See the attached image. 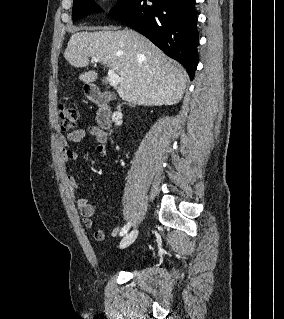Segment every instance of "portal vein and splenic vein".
<instances>
[{"mask_svg": "<svg viewBox=\"0 0 284 319\" xmlns=\"http://www.w3.org/2000/svg\"><path fill=\"white\" fill-rule=\"evenodd\" d=\"M93 62H98L99 59L96 57L92 58ZM108 80H109V84L113 87H116L117 85H119V83L121 82V78L118 74H116V72L112 69L108 70Z\"/></svg>", "mask_w": 284, "mask_h": 319, "instance_id": "1", "label": "portal vein and splenic vein"}]
</instances>
